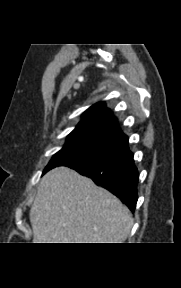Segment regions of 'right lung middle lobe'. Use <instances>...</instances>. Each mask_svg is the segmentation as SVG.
<instances>
[{
	"mask_svg": "<svg viewBox=\"0 0 181 288\" xmlns=\"http://www.w3.org/2000/svg\"><path fill=\"white\" fill-rule=\"evenodd\" d=\"M111 157L115 156L109 150L82 141L68 140L64 147L52 157L43 173L57 166H67L80 161H96Z\"/></svg>",
	"mask_w": 181,
	"mask_h": 288,
	"instance_id": "dd1d6c3e",
	"label": "right lung middle lobe"
}]
</instances>
